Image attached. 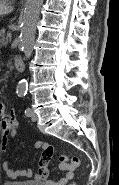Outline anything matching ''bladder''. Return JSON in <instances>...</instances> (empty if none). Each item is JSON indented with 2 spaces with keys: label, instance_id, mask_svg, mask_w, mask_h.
I'll return each instance as SVG.
<instances>
[{
  "label": "bladder",
  "instance_id": "31cf9c89",
  "mask_svg": "<svg viewBox=\"0 0 119 185\" xmlns=\"http://www.w3.org/2000/svg\"><path fill=\"white\" fill-rule=\"evenodd\" d=\"M4 185H44V184L33 180H25V181H10L6 182Z\"/></svg>",
  "mask_w": 119,
  "mask_h": 185
}]
</instances>
